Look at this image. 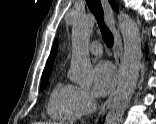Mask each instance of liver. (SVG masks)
<instances>
[{
  "label": "liver",
  "mask_w": 156,
  "mask_h": 124,
  "mask_svg": "<svg viewBox=\"0 0 156 124\" xmlns=\"http://www.w3.org/2000/svg\"><path fill=\"white\" fill-rule=\"evenodd\" d=\"M35 124H52V123H35Z\"/></svg>",
  "instance_id": "1"
}]
</instances>
